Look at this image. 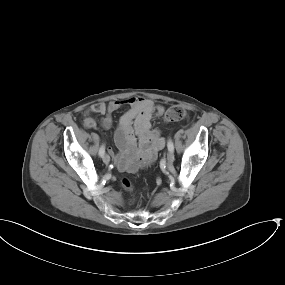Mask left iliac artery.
<instances>
[{"label":"left iliac artery","mask_w":285,"mask_h":285,"mask_svg":"<svg viewBox=\"0 0 285 285\" xmlns=\"http://www.w3.org/2000/svg\"><path fill=\"white\" fill-rule=\"evenodd\" d=\"M167 147H168V150H171V151L174 150L173 142L171 139H168Z\"/></svg>","instance_id":"left-iliac-artery-1"}]
</instances>
